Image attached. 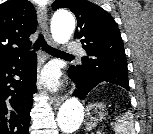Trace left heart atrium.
I'll use <instances>...</instances> for the list:
<instances>
[{
    "label": "left heart atrium",
    "mask_w": 153,
    "mask_h": 134,
    "mask_svg": "<svg viewBox=\"0 0 153 134\" xmlns=\"http://www.w3.org/2000/svg\"><path fill=\"white\" fill-rule=\"evenodd\" d=\"M42 80L48 87L52 89L57 88L59 85L57 75L52 69H47L44 71L42 75Z\"/></svg>",
    "instance_id": "39dd6f15"
}]
</instances>
